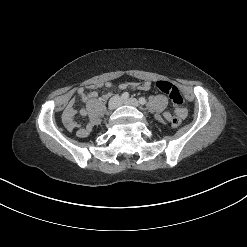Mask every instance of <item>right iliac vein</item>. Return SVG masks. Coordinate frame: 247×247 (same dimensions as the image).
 <instances>
[{
	"label": "right iliac vein",
	"mask_w": 247,
	"mask_h": 247,
	"mask_svg": "<svg viewBox=\"0 0 247 247\" xmlns=\"http://www.w3.org/2000/svg\"><path fill=\"white\" fill-rule=\"evenodd\" d=\"M121 105V98L118 95L113 96L108 103V112L117 109Z\"/></svg>",
	"instance_id": "right-iliac-vein-1"
}]
</instances>
